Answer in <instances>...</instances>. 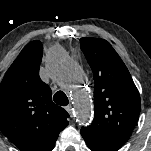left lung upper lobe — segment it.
<instances>
[{"instance_id":"left-lung-upper-lobe-1","label":"left lung upper lobe","mask_w":151,"mask_h":151,"mask_svg":"<svg viewBox=\"0 0 151 151\" xmlns=\"http://www.w3.org/2000/svg\"><path fill=\"white\" fill-rule=\"evenodd\" d=\"M93 71L95 115L81 133L129 139L140 114V95L125 64L104 39H80Z\"/></svg>"}]
</instances>
